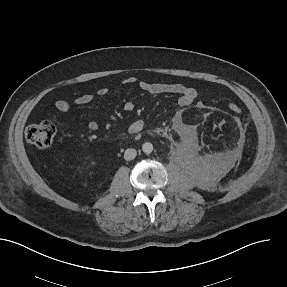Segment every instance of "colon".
<instances>
[{"label":"colon","instance_id":"5ec220e1","mask_svg":"<svg viewBox=\"0 0 287 287\" xmlns=\"http://www.w3.org/2000/svg\"><path fill=\"white\" fill-rule=\"evenodd\" d=\"M229 109L233 113H240L242 110L238 102L229 103ZM55 135V127L49 121H41L27 127L25 132L26 140L39 149H46L51 146Z\"/></svg>","mask_w":287,"mask_h":287}]
</instances>
